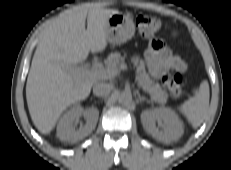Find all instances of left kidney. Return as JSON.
I'll list each match as a JSON object with an SVG mask.
<instances>
[{
	"instance_id": "obj_1",
	"label": "left kidney",
	"mask_w": 231,
	"mask_h": 170,
	"mask_svg": "<svg viewBox=\"0 0 231 170\" xmlns=\"http://www.w3.org/2000/svg\"><path fill=\"white\" fill-rule=\"evenodd\" d=\"M141 121L147 133L164 143L178 140L184 132L183 122L170 108L145 110L141 114Z\"/></svg>"
}]
</instances>
